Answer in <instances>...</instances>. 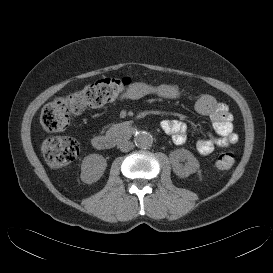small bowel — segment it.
I'll return each instance as SVG.
<instances>
[{"label":"small bowel","instance_id":"c3829d8e","mask_svg":"<svg viewBox=\"0 0 273 273\" xmlns=\"http://www.w3.org/2000/svg\"><path fill=\"white\" fill-rule=\"evenodd\" d=\"M156 95L170 100L182 97L181 89L175 84L151 85L145 82H134L126 94V98L137 100L145 96ZM197 113L208 116L213 124L215 134L209 133L207 137L197 141L196 147L201 155H208L216 148L228 147L238 142V136L232 129V115L228 107L218 102L211 95H202L195 102ZM162 130L171 135L176 145L186 142L189 128L180 120H164L161 122Z\"/></svg>","mask_w":273,"mask_h":273}]
</instances>
